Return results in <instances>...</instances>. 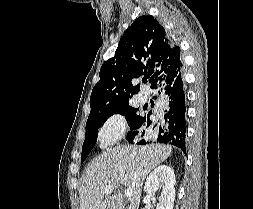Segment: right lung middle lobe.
Masks as SVG:
<instances>
[{
	"instance_id": "1",
	"label": "right lung middle lobe",
	"mask_w": 253,
	"mask_h": 209,
	"mask_svg": "<svg viewBox=\"0 0 253 209\" xmlns=\"http://www.w3.org/2000/svg\"><path fill=\"white\" fill-rule=\"evenodd\" d=\"M137 111L138 109H135L129 106V107L118 108L115 110H111L109 112L100 113V114L88 117V120L86 123V138L84 140L83 147H82L81 162H83L87 158L92 148L94 147L97 141V135H98L97 130L104 124V122L110 116L114 114L124 115L132 131L134 127L139 124L142 118L140 115H137L136 113Z\"/></svg>"
}]
</instances>
